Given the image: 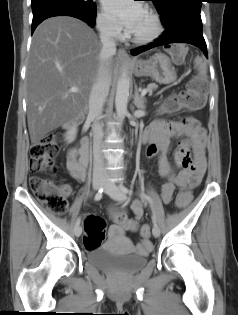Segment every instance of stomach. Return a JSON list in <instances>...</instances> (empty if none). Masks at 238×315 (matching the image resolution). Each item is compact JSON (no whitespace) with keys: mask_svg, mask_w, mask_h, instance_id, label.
Returning a JSON list of instances; mask_svg holds the SVG:
<instances>
[{"mask_svg":"<svg viewBox=\"0 0 238 315\" xmlns=\"http://www.w3.org/2000/svg\"><path fill=\"white\" fill-rule=\"evenodd\" d=\"M141 71L138 77H151L160 84H169L177 75L170 58L163 53H156L147 60H139Z\"/></svg>","mask_w":238,"mask_h":315,"instance_id":"obj_1","label":"stomach"}]
</instances>
